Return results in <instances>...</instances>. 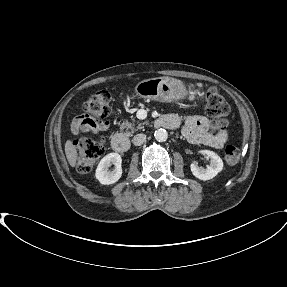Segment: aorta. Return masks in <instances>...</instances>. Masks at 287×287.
Wrapping results in <instances>:
<instances>
[{
    "label": "aorta",
    "mask_w": 287,
    "mask_h": 287,
    "mask_svg": "<svg viewBox=\"0 0 287 287\" xmlns=\"http://www.w3.org/2000/svg\"><path fill=\"white\" fill-rule=\"evenodd\" d=\"M155 139L159 142H164L168 139V133L165 129H157L154 133Z\"/></svg>",
    "instance_id": "762f6f07"
}]
</instances>
